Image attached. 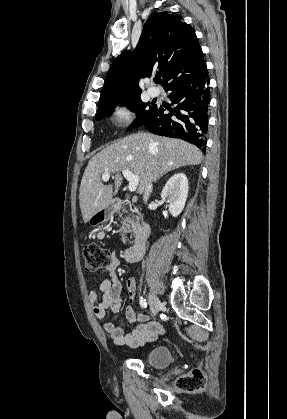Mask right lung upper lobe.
<instances>
[{"mask_svg": "<svg viewBox=\"0 0 287 419\" xmlns=\"http://www.w3.org/2000/svg\"><path fill=\"white\" fill-rule=\"evenodd\" d=\"M206 64L193 29L181 17L161 12L150 17L133 54L121 53L106 77L99 108L140 97L139 79L153 72L163 77L166 87L205 71Z\"/></svg>", "mask_w": 287, "mask_h": 419, "instance_id": "cb5924a9", "label": "right lung upper lobe"}]
</instances>
